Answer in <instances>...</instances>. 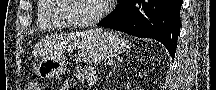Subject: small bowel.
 I'll use <instances>...</instances> for the list:
<instances>
[{"label": "small bowel", "mask_w": 216, "mask_h": 90, "mask_svg": "<svg viewBox=\"0 0 216 90\" xmlns=\"http://www.w3.org/2000/svg\"><path fill=\"white\" fill-rule=\"evenodd\" d=\"M60 90H70V82H66Z\"/></svg>", "instance_id": "c3829d8e"}]
</instances>
